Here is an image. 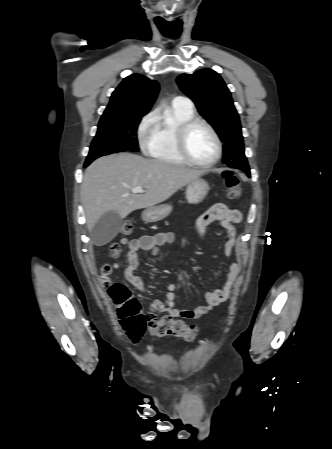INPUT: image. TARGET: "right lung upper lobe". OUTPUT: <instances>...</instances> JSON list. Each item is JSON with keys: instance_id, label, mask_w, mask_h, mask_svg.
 Instances as JSON below:
<instances>
[{"instance_id": "1", "label": "right lung upper lobe", "mask_w": 332, "mask_h": 449, "mask_svg": "<svg viewBox=\"0 0 332 449\" xmlns=\"http://www.w3.org/2000/svg\"><path fill=\"white\" fill-rule=\"evenodd\" d=\"M159 92L157 81L142 75L126 77L112 93L102 117L119 115H145Z\"/></svg>"}]
</instances>
